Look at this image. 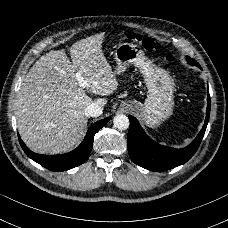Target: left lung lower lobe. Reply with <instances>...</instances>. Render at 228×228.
I'll use <instances>...</instances> for the list:
<instances>
[{
  "instance_id": "0a47b994",
  "label": "left lung lower lobe",
  "mask_w": 228,
  "mask_h": 228,
  "mask_svg": "<svg viewBox=\"0 0 228 228\" xmlns=\"http://www.w3.org/2000/svg\"><path fill=\"white\" fill-rule=\"evenodd\" d=\"M210 116V95L207 96L205 123L190 145L182 149H174L160 145L151 140L141 128L139 122L129 116L128 152L131 160L151 171H166L187 162L197 151L204 136Z\"/></svg>"
}]
</instances>
